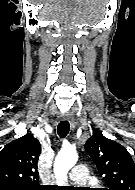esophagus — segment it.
Masks as SVG:
<instances>
[{
  "instance_id": "34e87169",
  "label": "esophagus",
  "mask_w": 135,
  "mask_h": 190,
  "mask_svg": "<svg viewBox=\"0 0 135 190\" xmlns=\"http://www.w3.org/2000/svg\"><path fill=\"white\" fill-rule=\"evenodd\" d=\"M62 118H63L64 121H69L72 128L75 127V122H74V118H73L72 114L64 113L62 115Z\"/></svg>"
}]
</instances>
